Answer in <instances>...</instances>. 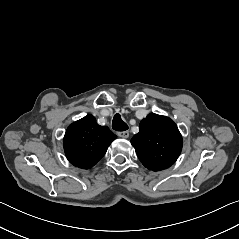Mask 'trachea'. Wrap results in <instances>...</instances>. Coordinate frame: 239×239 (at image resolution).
I'll list each match as a JSON object with an SVG mask.
<instances>
[{
    "label": "trachea",
    "mask_w": 239,
    "mask_h": 239,
    "mask_svg": "<svg viewBox=\"0 0 239 239\" xmlns=\"http://www.w3.org/2000/svg\"><path fill=\"white\" fill-rule=\"evenodd\" d=\"M112 128L115 131L122 132L128 129V125L122 120L119 114H116L112 121Z\"/></svg>",
    "instance_id": "1"
}]
</instances>
